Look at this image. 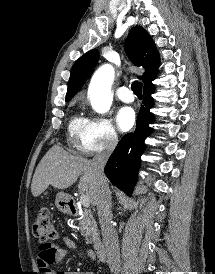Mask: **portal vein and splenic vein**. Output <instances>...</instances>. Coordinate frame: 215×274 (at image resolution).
<instances>
[{
    "instance_id": "1",
    "label": "portal vein and splenic vein",
    "mask_w": 215,
    "mask_h": 274,
    "mask_svg": "<svg viewBox=\"0 0 215 274\" xmlns=\"http://www.w3.org/2000/svg\"><path fill=\"white\" fill-rule=\"evenodd\" d=\"M80 202L84 207H89L90 206V200L85 194H82L80 196Z\"/></svg>"
}]
</instances>
